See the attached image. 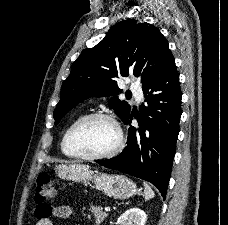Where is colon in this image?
<instances>
[{"mask_svg": "<svg viewBox=\"0 0 228 225\" xmlns=\"http://www.w3.org/2000/svg\"><path fill=\"white\" fill-rule=\"evenodd\" d=\"M55 192V183L51 180L49 175L40 173L37 180V186L35 190V201L37 203H43Z\"/></svg>", "mask_w": 228, "mask_h": 225, "instance_id": "obj_1", "label": "colon"}]
</instances>
